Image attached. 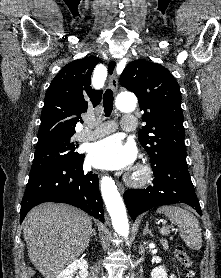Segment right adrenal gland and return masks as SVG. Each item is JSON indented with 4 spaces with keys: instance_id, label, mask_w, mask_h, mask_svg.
<instances>
[{
    "instance_id": "1",
    "label": "right adrenal gland",
    "mask_w": 221,
    "mask_h": 278,
    "mask_svg": "<svg viewBox=\"0 0 221 278\" xmlns=\"http://www.w3.org/2000/svg\"><path fill=\"white\" fill-rule=\"evenodd\" d=\"M92 236L96 237V232H95V230L92 231Z\"/></svg>"
}]
</instances>
